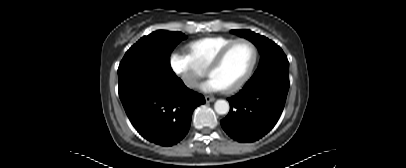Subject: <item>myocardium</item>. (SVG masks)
Returning a JSON list of instances; mask_svg holds the SVG:
<instances>
[{
    "mask_svg": "<svg viewBox=\"0 0 406 168\" xmlns=\"http://www.w3.org/2000/svg\"><path fill=\"white\" fill-rule=\"evenodd\" d=\"M241 42H245L248 43L252 49H253V57H252V61L250 63V65L248 66L247 70L245 71V73L242 75V77L235 82L234 84L223 88V91L226 93H232L235 92L237 90H239L241 87H243V85L249 80V78L251 77L254 68L257 64L258 61V56H259V50L258 47L256 46V44L251 41L248 38H237L234 39L233 41H231L229 44H227L226 46H224L214 57L213 59L210 61V63L208 64V66L206 67V72L207 74L210 76L212 71L215 70L224 60L225 56L227 55V53L229 52V50L236 44L241 43Z\"/></svg>",
    "mask_w": 406,
    "mask_h": 168,
    "instance_id": "f54148a6",
    "label": "myocardium"
}]
</instances>
